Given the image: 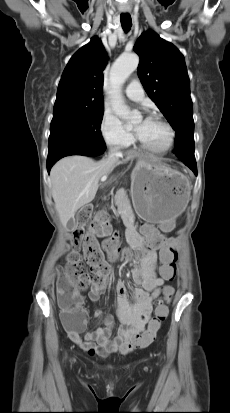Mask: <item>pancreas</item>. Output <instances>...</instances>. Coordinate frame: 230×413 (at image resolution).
<instances>
[{
    "label": "pancreas",
    "mask_w": 230,
    "mask_h": 413,
    "mask_svg": "<svg viewBox=\"0 0 230 413\" xmlns=\"http://www.w3.org/2000/svg\"><path fill=\"white\" fill-rule=\"evenodd\" d=\"M114 202L118 208V213L121 215L124 223L126 225L132 223L134 220V214L132 212L130 201L124 189L117 190L114 197ZM129 218H131L132 221H129Z\"/></svg>",
    "instance_id": "cf45deb5"
}]
</instances>
